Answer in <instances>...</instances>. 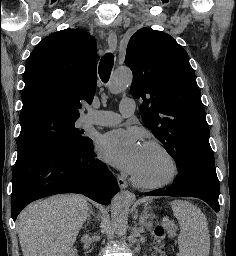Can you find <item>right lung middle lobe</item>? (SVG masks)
I'll return each mask as SVG.
<instances>
[{
    "mask_svg": "<svg viewBox=\"0 0 236 256\" xmlns=\"http://www.w3.org/2000/svg\"><path fill=\"white\" fill-rule=\"evenodd\" d=\"M77 119L51 111L20 118L17 158L52 146L80 148L88 144L91 140L83 136L84 130L76 127Z\"/></svg>",
    "mask_w": 236,
    "mask_h": 256,
    "instance_id": "obj_1",
    "label": "right lung middle lobe"
}]
</instances>
